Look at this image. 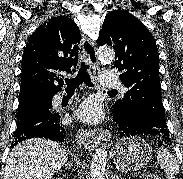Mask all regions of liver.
<instances>
[{
    "label": "liver",
    "instance_id": "liver-1",
    "mask_svg": "<svg viewBox=\"0 0 183 179\" xmlns=\"http://www.w3.org/2000/svg\"><path fill=\"white\" fill-rule=\"evenodd\" d=\"M67 160V151L59 143L27 139L9 153L3 179H51Z\"/></svg>",
    "mask_w": 183,
    "mask_h": 179
}]
</instances>
